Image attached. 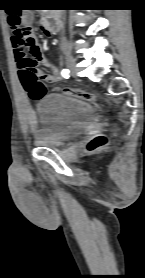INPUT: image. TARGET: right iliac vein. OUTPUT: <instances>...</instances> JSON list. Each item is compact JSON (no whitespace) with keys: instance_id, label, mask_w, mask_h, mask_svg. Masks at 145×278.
<instances>
[{"instance_id":"obj_1","label":"right iliac vein","mask_w":145,"mask_h":278,"mask_svg":"<svg viewBox=\"0 0 145 278\" xmlns=\"http://www.w3.org/2000/svg\"><path fill=\"white\" fill-rule=\"evenodd\" d=\"M65 62L68 67V69L75 74L77 72L76 63L73 59V57L69 53H65Z\"/></svg>"}]
</instances>
